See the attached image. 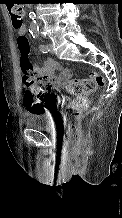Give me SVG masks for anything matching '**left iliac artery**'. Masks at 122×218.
Wrapping results in <instances>:
<instances>
[{"label":"left iliac artery","instance_id":"left-iliac-artery-1","mask_svg":"<svg viewBox=\"0 0 122 218\" xmlns=\"http://www.w3.org/2000/svg\"><path fill=\"white\" fill-rule=\"evenodd\" d=\"M31 34H32V37L34 39H37L39 37V32L38 31H33V32H31ZM39 49L41 50L42 53H48L49 52L47 45H44V44H40Z\"/></svg>","mask_w":122,"mask_h":218}]
</instances>
